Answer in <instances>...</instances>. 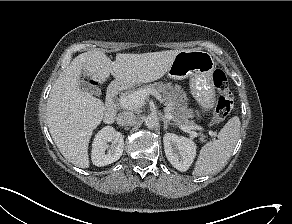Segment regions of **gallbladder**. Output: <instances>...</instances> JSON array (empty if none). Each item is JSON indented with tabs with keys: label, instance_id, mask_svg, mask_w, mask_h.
I'll list each match as a JSON object with an SVG mask.
<instances>
[{
	"label": "gallbladder",
	"instance_id": "obj_1",
	"mask_svg": "<svg viewBox=\"0 0 292 224\" xmlns=\"http://www.w3.org/2000/svg\"><path fill=\"white\" fill-rule=\"evenodd\" d=\"M78 86L82 91L94 94L95 96H100L101 95V89L98 88L97 86L91 85L89 82L80 80L78 82Z\"/></svg>",
	"mask_w": 292,
	"mask_h": 224
}]
</instances>
